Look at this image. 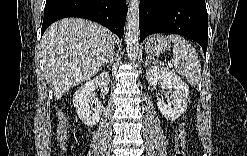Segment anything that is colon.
<instances>
[{
    "label": "colon",
    "instance_id": "1",
    "mask_svg": "<svg viewBox=\"0 0 247 156\" xmlns=\"http://www.w3.org/2000/svg\"><path fill=\"white\" fill-rule=\"evenodd\" d=\"M186 128L181 124L175 133V153L178 156L184 155ZM57 141L62 149L67 147V122L63 115L59 117L57 127Z\"/></svg>",
    "mask_w": 247,
    "mask_h": 156
}]
</instances>
